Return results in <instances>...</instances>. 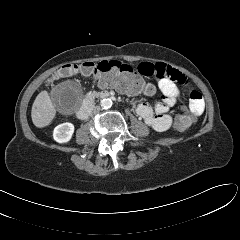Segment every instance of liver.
Segmentation results:
<instances>
[{
  "instance_id": "6515ba94",
  "label": "liver",
  "mask_w": 240,
  "mask_h": 240,
  "mask_svg": "<svg viewBox=\"0 0 240 240\" xmlns=\"http://www.w3.org/2000/svg\"><path fill=\"white\" fill-rule=\"evenodd\" d=\"M55 115L56 109L48 92H40L32 105L31 118L33 124L38 128H43L51 123Z\"/></svg>"
}]
</instances>
